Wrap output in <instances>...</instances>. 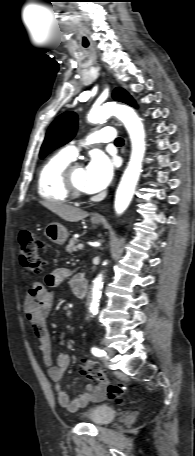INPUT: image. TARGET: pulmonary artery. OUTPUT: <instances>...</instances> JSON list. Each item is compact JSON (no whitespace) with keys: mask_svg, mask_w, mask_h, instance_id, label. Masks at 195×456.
Segmentation results:
<instances>
[{"mask_svg":"<svg viewBox=\"0 0 195 456\" xmlns=\"http://www.w3.org/2000/svg\"><path fill=\"white\" fill-rule=\"evenodd\" d=\"M115 139V130L111 127H106L101 130L93 132L88 140L91 143H107ZM63 152L70 158L74 159L78 154V148L75 145H67Z\"/></svg>","mask_w":195,"mask_h":456,"instance_id":"obj_1","label":"pulmonary artery"}]
</instances>
